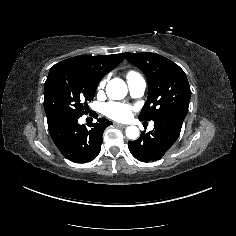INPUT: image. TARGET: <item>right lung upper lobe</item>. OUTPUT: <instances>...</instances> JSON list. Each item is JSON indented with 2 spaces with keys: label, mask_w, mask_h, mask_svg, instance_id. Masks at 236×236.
<instances>
[{
  "label": "right lung upper lobe",
  "mask_w": 236,
  "mask_h": 236,
  "mask_svg": "<svg viewBox=\"0 0 236 236\" xmlns=\"http://www.w3.org/2000/svg\"><path fill=\"white\" fill-rule=\"evenodd\" d=\"M124 60V54L98 55V56H76L66 59L60 64L86 68L91 70L100 81L103 76L114 69Z\"/></svg>",
  "instance_id": "cb5924a9"
}]
</instances>
